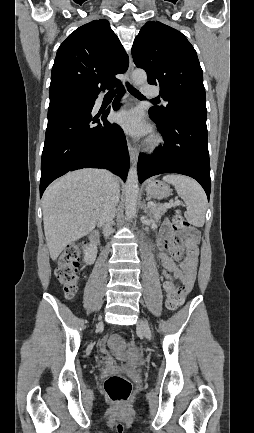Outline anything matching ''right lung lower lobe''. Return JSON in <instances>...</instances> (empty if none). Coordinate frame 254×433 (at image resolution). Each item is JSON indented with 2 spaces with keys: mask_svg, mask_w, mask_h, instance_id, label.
Returning a JSON list of instances; mask_svg holds the SVG:
<instances>
[{
  "mask_svg": "<svg viewBox=\"0 0 254 433\" xmlns=\"http://www.w3.org/2000/svg\"><path fill=\"white\" fill-rule=\"evenodd\" d=\"M124 94L118 88L117 99ZM96 97L61 96L50 99L41 159L40 197L65 173L81 168H107L126 180L130 160L121 127L106 120L110 109L91 114Z\"/></svg>",
  "mask_w": 254,
  "mask_h": 433,
  "instance_id": "right-lung-lower-lobe-1",
  "label": "right lung lower lobe"
}]
</instances>
